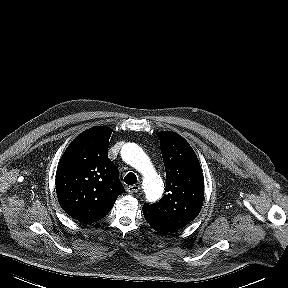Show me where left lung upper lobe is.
<instances>
[{"instance_id":"left-lung-upper-lobe-1","label":"left lung upper lobe","mask_w":288,"mask_h":288,"mask_svg":"<svg viewBox=\"0 0 288 288\" xmlns=\"http://www.w3.org/2000/svg\"><path fill=\"white\" fill-rule=\"evenodd\" d=\"M166 170V194L143 210L154 219L181 229L194 220L204 198V178L198 158L188 142L174 132H160Z\"/></svg>"}]
</instances>
